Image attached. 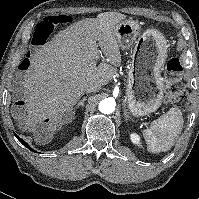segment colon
Returning a JSON list of instances; mask_svg holds the SVG:
<instances>
[{"instance_id":"colon-1","label":"colon","mask_w":199,"mask_h":199,"mask_svg":"<svg viewBox=\"0 0 199 199\" xmlns=\"http://www.w3.org/2000/svg\"><path fill=\"white\" fill-rule=\"evenodd\" d=\"M65 16H48L38 27L33 36L35 45L44 44L48 36L53 32L56 25L65 21ZM183 72V66L176 57L170 58L166 63L165 80H166V99L167 103L176 104L178 106L186 105V95L183 90L180 77Z\"/></svg>"}]
</instances>
